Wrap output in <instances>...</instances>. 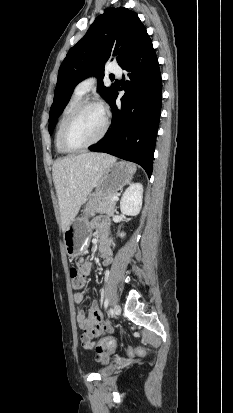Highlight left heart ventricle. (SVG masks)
Segmentation results:
<instances>
[{
    "label": "left heart ventricle",
    "mask_w": 233,
    "mask_h": 413,
    "mask_svg": "<svg viewBox=\"0 0 233 413\" xmlns=\"http://www.w3.org/2000/svg\"><path fill=\"white\" fill-rule=\"evenodd\" d=\"M103 124L104 113L100 107L92 106L83 109L68 129V142L73 146L91 142L100 134Z\"/></svg>",
    "instance_id": "obj_1"
}]
</instances>
